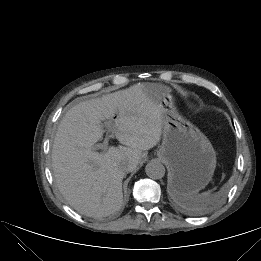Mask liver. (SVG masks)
<instances>
[{
  "label": "liver",
  "instance_id": "1",
  "mask_svg": "<svg viewBox=\"0 0 261 261\" xmlns=\"http://www.w3.org/2000/svg\"><path fill=\"white\" fill-rule=\"evenodd\" d=\"M149 89V84L138 83L80 102L59 124L52 149L54 178L64 198L81 214L101 217L117 211L123 199L124 167L134 170L142 151L159 143L162 94ZM106 119L123 146L98 153L94 144L102 138Z\"/></svg>",
  "mask_w": 261,
  "mask_h": 261
}]
</instances>
